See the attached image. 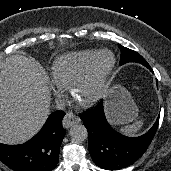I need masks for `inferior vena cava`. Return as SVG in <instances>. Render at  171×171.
I'll return each mask as SVG.
<instances>
[{"instance_id": "inferior-vena-cava-1", "label": "inferior vena cava", "mask_w": 171, "mask_h": 171, "mask_svg": "<svg viewBox=\"0 0 171 171\" xmlns=\"http://www.w3.org/2000/svg\"><path fill=\"white\" fill-rule=\"evenodd\" d=\"M55 108L57 110H63L65 108V103L63 100L61 99H56L55 100Z\"/></svg>"}]
</instances>
